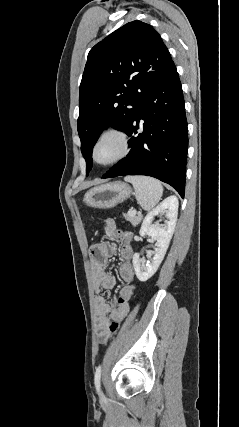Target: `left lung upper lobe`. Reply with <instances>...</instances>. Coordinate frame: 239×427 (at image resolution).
I'll use <instances>...</instances> for the list:
<instances>
[{
    "instance_id": "obj_1",
    "label": "left lung upper lobe",
    "mask_w": 239,
    "mask_h": 427,
    "mask_svg": "<svg viewBox=\"0 0 239 427\" xmlns=\"http://www.w3.org/2000/svg\"><path fill=\"white\" fill-rule=\"evenodd\" d=\"M173 65L160 35L141 21L125 24L90 50L77 125L87 175L100 133L109 126L125 132L144 94Z\"/></svg>"
}]
</instances>
